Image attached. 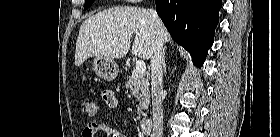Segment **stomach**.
Instances as JSON below:
<instances>
[{
	"instance_id": "obj_1",
	"label": "stomach",
	"mask_w": 280,
	"mask_h": 137,
	"mask_svg": "<svg viewBox=\"0 0 280 137\" xmlns=\"http://www.w3.org/2000/svg\"><path fill=\"white\" fill-rule=\"evenodd\" d=\"M93 70L97 76L107 81L114 80L119 73L118 65L114 60L102 57L94 58Z\"/></svg>"
}]
</instances>
